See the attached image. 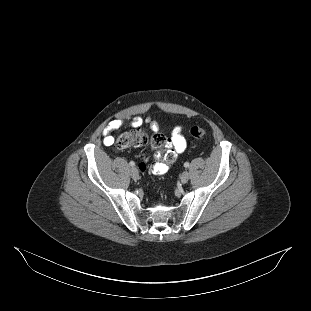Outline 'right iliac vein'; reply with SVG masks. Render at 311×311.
<instances>
[{"label":"right iliac vein","instance_id":"1","mask_svg":"<svg viewBox=\"0 0 311 311\" xmlns=\"http://www.w3.org/2000/svg\"><path fill=\"white\" fill-rule=\"evenodd\" d=\"M130 175L131 177L134 179V180H137L139 178V173H138V170L133 167L131 170H130Z\"/></svg>","mask_w":311,"mask_h":311}]
</instances>
